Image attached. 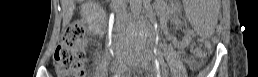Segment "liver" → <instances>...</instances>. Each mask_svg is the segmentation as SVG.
Returning <instances> with one entry per match:
<instances>
[{"label": "liver", "mask_w": 258, "mask_h": 77, "mask_svg": "<svg viewBox=\"0 0 258 77\" xmlns=\"http://www.w3.org/2000/svg\"><path fill=\"white\" fill-rule=\"evenodd\" d=\"M78 1L82 2V0ZM74 2L75 0H61V5L63 9V25H67L73 16Z\"/></svg>", "instance_id": "6515ba94"}]
</instances>
